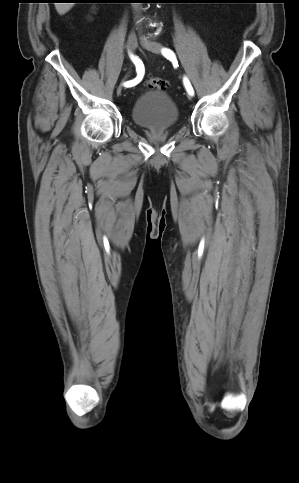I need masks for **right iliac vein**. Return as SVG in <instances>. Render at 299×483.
<instances>
[{"mask_svg": "<svg viewBox=\"0 0 299 483\" xmlns=\"http://www.w3.org/2000/svg\"><path fill=\"white\" fill-rule=\"evenodd\" d=\"M128 48L131 53H134L137 48V37L133 32H131L128 36ZM121 91H122V86H119L117 89V94H120Z\"/></svg>", "mask_w": 299, "mask_h": 483, "instance_id": "1", "label": "right iliac vein"}]
</instances>
